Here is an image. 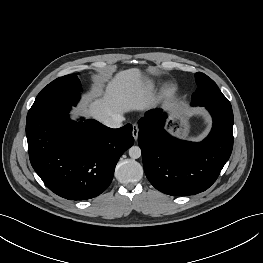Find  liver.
<instances>
[{"mask_svg": "<svg viewBox=\"0 0 263 263\" xmlns=\"http://www.w3.org/2000/svg\"><path fill=\"white\" fill-rule=\"evenodd\" d=\"M97 86L96 91L99 90ZM156 103L146 87L141 71L132 68L120 71L105 86L103 97L89 101L81 110L84 114L103 122L113 114L146 110ZM170 105H165L168 108Z\"/></svg>", "mask_w": 263, "mask_h": 263, "instance_id": "6515ba94", "label": "liver"}]
</instances>
